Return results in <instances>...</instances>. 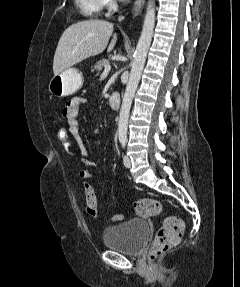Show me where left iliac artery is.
<instances>
[{
	"mask_svg": "<svg viewBox=\"0 0 240 287\" xmlns=\"http://www.w3.org/2000/svg\"><path fill=\"white\" fill-rule=\"evenodd\" d=\"M125 143H126L125 140H121V144H122L123 147H125Z\"/></svg>",
	"mask_w": 240,
	"mask_h": 287,
	"instance_id": "44dca946",
	"label": "left iliac artery"
}]
</instances>
